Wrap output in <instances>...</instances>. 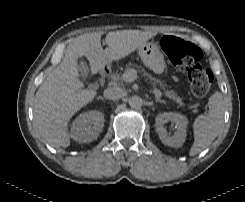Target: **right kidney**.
<instances>
[{
  "mask_svg": "<svg viewBox=\"0 0 245 202\" xmlns=\"http://www.w3.org/2000/svg\"><path fill=\"white\" fill-rule=\"evenodd\" d=\"M104 126V114L89 111L80 114L71 125V138L79 143L91 142L99 136Z\"/></svg>",
  "mask_w": 245,
  "mask_h": 202,
  "instance_id": "ca27d5eb",
  "label": "right kidney"
}]
</instances>
